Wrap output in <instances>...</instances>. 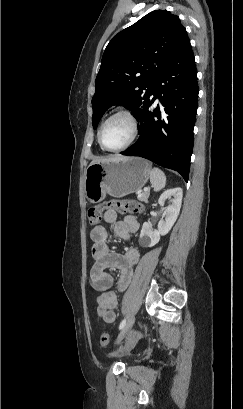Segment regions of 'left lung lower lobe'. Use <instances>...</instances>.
Returning a JSON list of instances; mask_svg holds the SVG:
<instances>
[{
    "label": "left lung lower lobe",
    "mask_w": 243,
    "mask_h": 409,
    "mask_svg": "<svg viewBox=\"0 0 243 409\" xmlns=\"http://www.w3.org/2000/svg\"><path fill=\"white\" fill-rule=\"evenodd\" d=\"M198 91L195 59L188 39L155 80L137 117L140 137L121 154L149 159L179 172L188 181ZM156 98L161 106L151 111Z\"/></svg>",
    "instance_id": "0a47b994"
}]
</instances>
